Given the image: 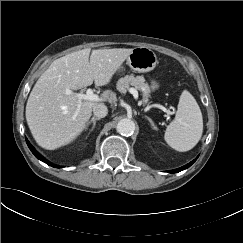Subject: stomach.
<instances>
[{"label": "stomach", "instance_id": "1", "mask_svg": "<svg viewBox=\"0 0 243 243\" xmlns=\"http://www.w3.org/2000/svg\"><path fill=\"white\" fill-rule=\"evenodd\" d=\"M157 63L158 59L155 52L146 47L134 48L126 60V64L138 73L150 72L156 67ZM157 87V82L152 81V90H155Z\"/></svg>", "mask_w": 243, "mask_h": 243}]
</instances>
